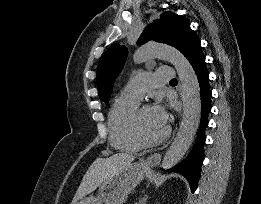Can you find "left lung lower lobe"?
Instances as JSON below:
<instances>
[{"mask_svg": "<svg viewBox=\"0 0 261 204\" xmlns=\"http://www.w3.org/2000/svg\"><path fill=\"white\" fill-rule=\"evenodd\" d=\"M183 55L192 65L200 86L201 96V119L199 133L195 145L180 164L170 169L169 171L178 172L184 175L190 183L192 193L197 188V183L200 178L201 164L203 161V146L205 143V129L208 125V114L211 110V91L209 86L208 71L205 65V57L202 53L200 40L195 35L184 50Z\"/></svg>", "mask_w": 261, "mask_h": 204, "instance_id": "0a47b994", "label": "left lung lower lobe"}]
</instances>
